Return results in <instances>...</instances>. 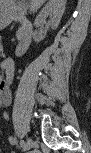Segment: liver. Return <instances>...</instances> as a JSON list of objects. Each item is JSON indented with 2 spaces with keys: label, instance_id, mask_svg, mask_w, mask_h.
Listing matches in <instances>:
<instances>
[{
  "label": "liver",
  "instance_id": "6515ba94",
  "mask_svg": "<svg viewBox=\"0 0 91 153\" xmlns=\"http://www.w3.org/2000/svg\"><path fill=\"white\" fill-rule=\"evenodd\" d=\"M44 2H45V0H31L30 1V10L32 12L37 11ZM65 3H66V1H65Z\"/></svg>",
  "mask_w": 91,
  "mask_h": 153
}]
</instances>
